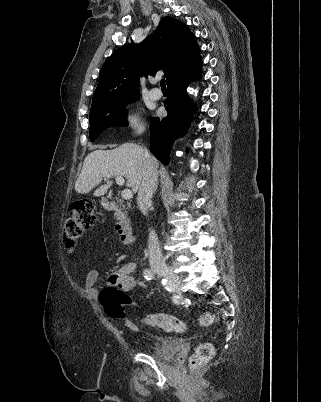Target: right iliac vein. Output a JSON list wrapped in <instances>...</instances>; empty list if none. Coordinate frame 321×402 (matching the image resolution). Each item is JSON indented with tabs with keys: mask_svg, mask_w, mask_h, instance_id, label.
I'll use <instances>...</instances> for the list:
<instances>
[{
	"mask_svg": "<svg viewBox=\"0 0 321 402\" xmlns=\"http://www.w3.org/2000/svg\"><path fill=\"white\" fill-rule=\"evenodd\" d=\"M156 272L164 276L173 286V288L179 292L181 287V280L179 276L168 266H158L155 268Z\"/></svg>",
	"mask_w": 321,
	"mask_h": 402,
	"instance_id": "obj_1",
	"label": "right iliac vein"
}]
</instances>
